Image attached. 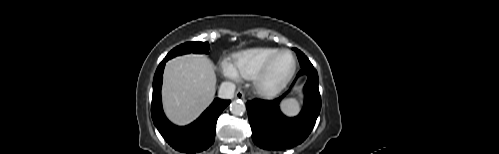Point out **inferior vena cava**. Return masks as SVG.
I'll use <instances>...</instances> for the list:
<instances>
[{
    "label": "inferior vena cava",
    "instance_id": "inferior-vena-cava-1",
    "mask_svg": "<svg viewBox=\"0 0 499 154\" xmlns=\"http://www.w3.org/2000/svg\"><path fill=\"white\" fill-rule=\"evenodd\" d=\"M235 84L232 82H223L219 88L218 97L221 99H232L235 92Z\"/></svg>",
    "mask_w": 499,
    "mask_h": 154
}]
</instances>
